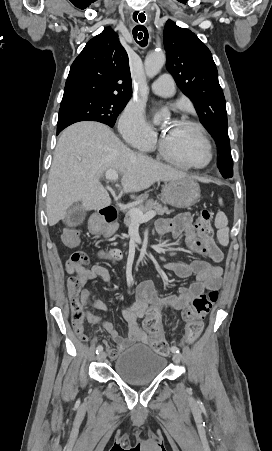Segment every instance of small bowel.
<instances>
[{"label": "small bowel", "mask_w": 272, "mask_h": 451, "mask_svg": "<svg viewBox=\"0 0 272 451\" xmlns=\"http://www.w3.org/2000/svg\"><path fill=\"white\" fill-rule=\"evenodd\" d=\"M200 229L192 222L189 213H182L173 219H161L156 222L158 234H169L174 240L183 236L184 243L188 250L206 256L209 260L198 258L191 262L172 261L166 263V268L180 278L195 276L196 280L189 286L181 287L177 294L159 297L158 291L152 281L140 283L136 288V301L129 305H124L121 309L123 319L128 326V335L122 337L114 325L104 320L96 311L85 310V306H92L96 310L107 311L109 307L104 302L96 299L85 289L88 280L100 278L107 285L112 287L111 275L107 268L101 265H93L84 274H74L68 279V296L71 301V311L83 312V327L85 322L102 327L110 339L105 341L106 351L111 360H116L120 353L129 345L134 343L151 344L155 338L163 339L161 325L153 331H144L139 321L144 317L159 315L162 309H167L170 313L184 310L191 300L202 294L204 291L216 290L221 285L222 268L217 264L223 258V252L217 244L207 245L205 238H198L197 232ZM73 275L72 270H66ZM85 332V329H84ZM187 340V336L185 337Z\"/></svg>", "instance_id": "c3829d8e"}]
</instances>
